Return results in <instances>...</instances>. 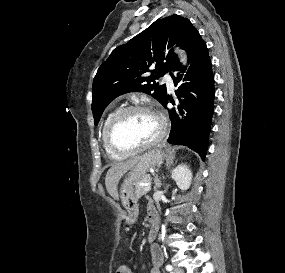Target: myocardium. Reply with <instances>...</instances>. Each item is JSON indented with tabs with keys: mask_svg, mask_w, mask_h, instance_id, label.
<instances>
[{
	"mask_svg": "<svg viewBox=\"0 0 285 273\" xmlns=\"http://www.w3.org/2000/svg\"><path fill=\"white\" fill-rule=\"evenodd\" d=\"M134 111H143L151 114L158 123L159 130L157 135L149 142L144 143L142 145L132 147V148H124L119 146L113 139V133L116 125L120 121V119L126 115L127 113ZM167 122L162 113L156 108L146 105V104H131L124 106L117 110L114 115L111 117L106 130H105V139L108 146L115 152L128 155L138 153L140 151L146 150L156 144H158L167 134Z\"/></svg>",
	"mask_w": 285,
	"mask_h": 273,
	"instance_id": "1",
	"label": "myocardium"
}]
</instances>
